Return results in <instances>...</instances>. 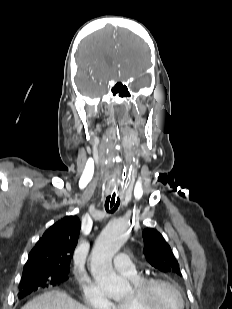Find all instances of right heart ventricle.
<instances>
[{
    "label": "right heart ventricle",
    "mask_w": 232,
    "mask_h": 309,
    "mask_svg": "<svg viewBox=\"0 0 232 309\" xmlns=\"http://www.w3.org/2000/svg\"><path fill=\"white\" fill-rule=\"evenodd\" d=\"M131 282L135 285H137L141 280L142 277L137 275L135 277L130 278ZM113 309H137L129 300V298L114 303Z\"/></svg>",
    "instance_id": "obj_1"
}]
</instances>
